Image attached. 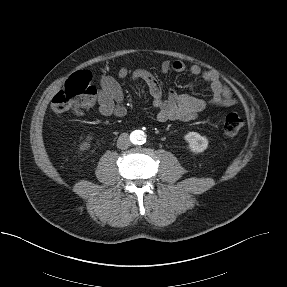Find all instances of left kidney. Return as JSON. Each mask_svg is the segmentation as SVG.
Wrapping results in <instances>:
<instances>
[{
	"label": "left kidney",
	"instance_id": "5707ae66",
	"mask_svg": "<svg viewBox=\"0 0 287 287\" xmlns=\"http://www.w3.org/2000/svg\"><path fill=\"white\" fill-rule=\"evenodd\" d=\"M192 152L200 153L207 149L208 139L197 132H189L184 136Z\"/></svg>",
	"mask_w": 287,
	"mask_h": 287
}]
</instances>
